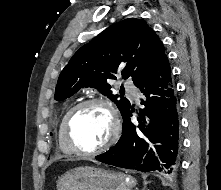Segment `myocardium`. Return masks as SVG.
Returning <instances> with one entry per match:
<instances>
[{"mask_svg": "<svg viewBox=\"0 0 221 190\" xmlns=\"http://www.w3.org/2000/svg\"><path fill=\"white\" fill-rule=\"evenodd\" d=\"M99 104L103 105L107 108V110L110 112L111 118H112V130L109 138L105 143L102 145L93 148V149H85L81 146H79L76 141L74 140L72 136V124L75 119V117L78 115V113L84 109L87 106ZM121 130V123L119 114L113 105V103L104 97H92L86 100H83L79 103H77L66 115L64 121H63V135L66 143L69 145V147L72 149L74 153L80 154V155H95L98 153H101L103 151H106L109 149L118 139L120 135Z\"/></svg>", "mask_w": 221, "mask_h": 190, "instance_id": "1", "label": "myocardium"}]
</instances>
